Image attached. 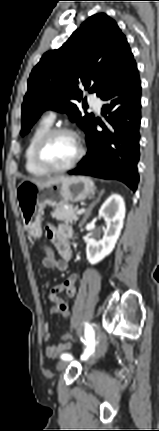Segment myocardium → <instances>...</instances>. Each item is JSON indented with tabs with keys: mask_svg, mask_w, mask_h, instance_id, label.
<instances>
[{
	"mask_svg": "<svg viewBox=\"0 0 159 431\" xmlns=\"http://www.w3.org/2000/svg\"><path fill=\"white\" fill-rule=\"evenodd\" d=\"M60 134H69L73 136L77 142V154L74 157V159L67 165L62 167H55L51 165L44 157V150L47 146V144L50 142V140ZM84 155V146L82 143V140L78 136V134L68 127H54L50 128L48 131H46L41 138L37 141L34 149V160L37 163V165L45 170L47 173H63L66 171L71 170L74 168L79 161L82 159Z\"/></svg>",
	"mask_w": 159,
	"mask_h": 431,
	"instance_id": "obj_1",
	"label": "myocardium"
}]
</instances>
